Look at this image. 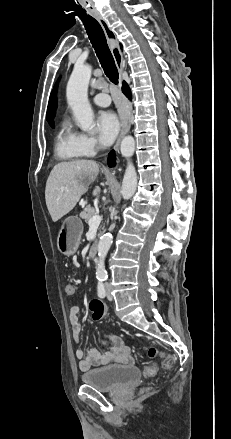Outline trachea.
I'll return each mask as SVG.
<instances>
[{
  "label": "trachea",
  "instance_id": "obj_1",
  "mask_svg": "<svg viewBox=\"0 0 231 439\" xmlns=\"http://www.w3.org/2000/svg\"><path fill=\"white\" fill-rule=\"evenodd\" d=\"M83 24L95 53L101 63L104 73L112 83L117 84L119 73L101 25L95 18L91 16L83 17Z\"/></svg>",
  "mask_w": 231,
  "mask_h": 439
}]
</instances>
